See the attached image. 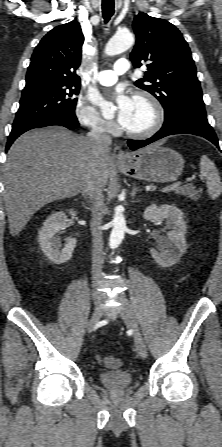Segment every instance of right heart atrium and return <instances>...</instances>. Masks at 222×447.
Here are the masks:
<instances>
[{
	"label": "right heart atrium",
	"instance_id": "1",
	"mask_svg": "<svg viewBox=\"0 0 222 447\" xmlns=\"http://www.w3.org/2000/svg\"><path fill=\"white\" fill-rule=\"evenodd\" d=\"M75 118L83 126L100 134H111L115 125L112 121L103 118L93 107L80 103L75 109Z\"/></svg>",
	"mask_w": 222,
	"mask_h": 447
}]
</instances>
